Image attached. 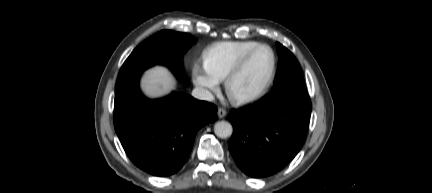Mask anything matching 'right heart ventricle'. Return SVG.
Segmentation results:
<instances>
[{
    "label": "right heart ventricle",
    "instance_id": "1",
    "mask_svg": "<svg viewBox=\"0 0 432 193\" xmlns=\"http://www.w3.org/2000/svg\"><path fill=\"white\" fill-rule=\"evenodd\" d=\"M258 44L260 43L253 40L215 43L204 52V66L218 82H221L236 62Z\"/></svg>",
    "mask_w": 432,
    "mask_h": 193
}]
</instances>
